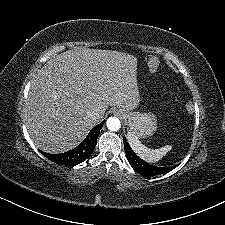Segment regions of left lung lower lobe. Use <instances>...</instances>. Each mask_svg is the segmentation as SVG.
<instances>
[{
	"label": "left lung lower lobe",
	"instance_id": "0a47b994",
	"mask_svg": "<svg viewBox=\"0 0 225 225\" xmlns=\"http://www.w3.org/2000/svg\"><path fill=\"white\" fill-rule=\"evenodd\" d=\"M123 141H124V148L126 151V156H127L128 162L130 163L132 168L141 175L154 176V175H159V174H165L178 166V165H176V166H172V167H157V166L150 165L147 162L141 160L133 152V150L129 146L125 137H124Z\"/></svg>",
	"mask_w": 225,
	"mask_h": 225
}]
</instances>
